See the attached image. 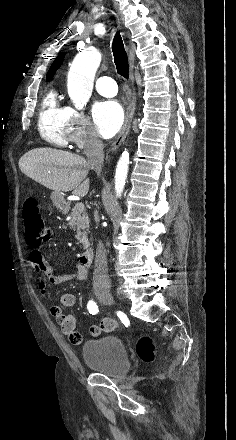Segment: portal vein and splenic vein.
Returning a JSON list of instances; mask_svg holds the SVG:
<instances>
[{"label":"portal vein and splenic vein","mask_w":236,"mask_h":440,"mask_svg":"<svg viewBox=\"0 0 236 440\" xmlns=\"http://www.w3.org/2000/svg\"><path fill=\"white\" fill-rule=\"evenodd\" d=\"M75 208L78 210V211H83L84 210V204L83 203H76V205H75Z\"/></svg>","instance_id":"18ae733b"}]
</instances>
